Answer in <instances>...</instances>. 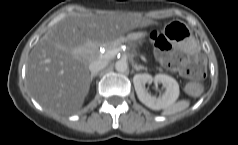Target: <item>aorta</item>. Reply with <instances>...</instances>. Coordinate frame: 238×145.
<instances>
[{
  "instance_id": "762f6f07",
  "label": "aorta",
  "mask_w": 238,
  "mask_h": 145,
  "mask_svg": "<svg viewBox=\"0 0 238 145\" xmlns=\"http://www.w3.org/2000/svg\"><path fill=\"white\" fill-rule=\"evenodd\" d=\"M115 69L116 71L118 72H125L127 71L128 69V63L126 60H118L116 63H115Z\"/></svg>"
}]
</instances>
